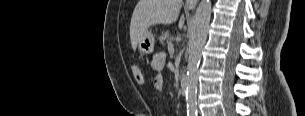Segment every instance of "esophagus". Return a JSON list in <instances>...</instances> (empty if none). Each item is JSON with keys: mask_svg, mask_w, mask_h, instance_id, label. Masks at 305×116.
<instances>
[{"mask_svg": "<svg viewBox=\"0 0 305 116\" xmlns=\"http://www.w3.org/2000/svg\"><path fill=\"white\" fill-rule=\"evenodd\" d=\"M198 3V0H186L185 7L187 9H194Z\"/></svg>", "mask_w": 305, "mask_h": 116, "instance_id": "obj_1", "label": "esophagus"}]
</instances>
